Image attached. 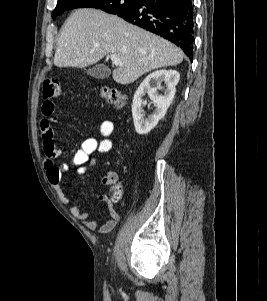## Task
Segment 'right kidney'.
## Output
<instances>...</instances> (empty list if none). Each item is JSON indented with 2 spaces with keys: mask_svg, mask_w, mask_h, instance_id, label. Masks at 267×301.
I'll use <instances>...</instances> for the list:
<instances>
[{
  "mask_svg": "<svg viewBox=\"0 0 267 301\" xmlns=\"http://www.w3.org/2000/svg\"><path fill=\"white\" fill-rule=\"evenodd\" d=\"M180 74L175 70H159L149 74L140 84L134 94L132 104V116L135 130L140 135L148 134L161 120L169 108L176 92V85L179 81ZM165 82L166 90L164 95H159L157 89L161 83ZM148 94L155 104V111L147 119L143 117L142 106L147 102L143 101V96Z\"/></svg>",
  "mask_w": 267,
  "mask_h": 301,
  "instance_id": "right-kidney-1",
  "label": "right kidney"
}]
</instances>
